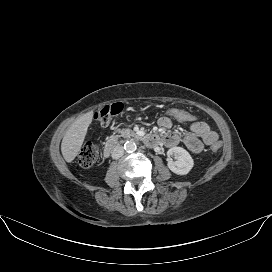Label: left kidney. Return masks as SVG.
Segmentation results:
<instances>
[{"label":"left kidney","mask_w":272,"mask_h":272,"mask_svg":"<svg viewBox=\"0 0 272 272\" xmlns=\"http://www.w3.org/2000/svg\"><path fill=\"white\" fill-rule=\"evenodd\" d=\"M168 168L177 175H186L192 169L194 161L182 147H172L167 151ZM174 157V160L171 158Z\"/></svg>","instance_id":"left-kidney-1"}]
</instances>
